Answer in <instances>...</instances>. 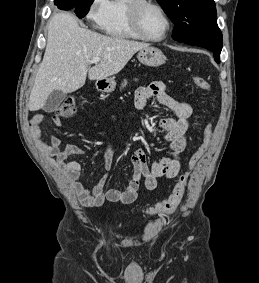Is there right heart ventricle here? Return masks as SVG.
I'll return each mask as SVG.
<instances>
[{
  "label": "right heart ventricle",
  "instance_id": "1",
  "mask_svg": "<svg viewBox=\"0 0 259 283\" xmlns=\"http://www.w3.org/2000/svg\"><path fill=\"white\" fill-rule=\"evenodd\" d=\"M132 0H109L105 17L101 23L102 31L115 38L139 39L132 29L128 6Z\"/></svg>",
  "mask_w": 259,
  "mask_h": 283
}]
</instances>
